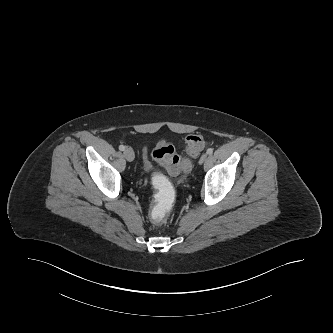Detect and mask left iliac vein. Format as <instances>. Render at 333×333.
Here are the masks:
<instances>
[{
    "label": "left iliac vein",
    "instance_id": "1",
    "mask_svg": "<svg viewBox=\"0 0 333 333\" xmlns=\"http://www.w3.org/2000/svg\"><path fill=\"white\" fill-rule=\"evenodd\" d=\"M208 158V155L207 154H203L200 159H199V163L200 164H203Z\"/></svg>",
    "mask_w": 333,
    "mask_h": 333
}]
</instances>
